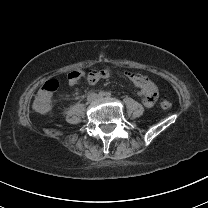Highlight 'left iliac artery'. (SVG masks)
Wrapping results in <instances>:
<instances>
[{
  "label": "left iliac artery",
  "mask_w": 208,
  "mask_h": 208,
  "mask_svg": "<svg viewBox=\"0 0 208 208\" xmlns=\"http://www.w3.org/2000/svg\"><path fill=\"white\" fill-rule=\"evenodd\" d=\"M106 97H111V93L110 92H106Z\"/></svg>",
  "instance_id": "obj_1"
}]
</instances>
